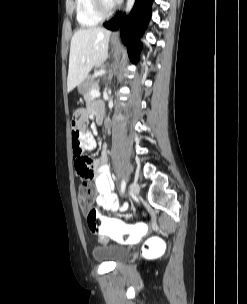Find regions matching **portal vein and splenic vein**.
<instances>
[{"label": "portal vein and splenic vein", "mask_w": 247, "mask_h": 304, "mask_svg": "<svg viewBox=\"0 0 247 304\" xmlns=\"http://www.w3.org/2000/svg\"><path fill=\"white\" fill-rule=\"evenodd\" d=\"M90 95H91L92 97H99V96H100V92H99V90H92V91L90 92Z\"/></svg>", "instance_id": "18ae733b"}]
</instances>
